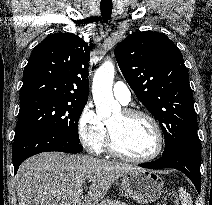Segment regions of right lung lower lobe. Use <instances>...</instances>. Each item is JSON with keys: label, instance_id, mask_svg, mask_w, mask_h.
<instances>
[{"label": "right lung lower lobe", "instance_id": "obj_1", "mask_svg": "<svg viewBox=\"0 0 212 205\" xmlns=\"http://www.w3.org/2000/svg\"><path fill=\"white\" fill-rule=\"evenodd\" d=\"M15 174L20 164L27 158L47 151L79 153L83 150L79 142L51 132H34L14 140L12 148Z\"/></svg>", "mask_w": 212, "mask_h": 205}]
</instances>
